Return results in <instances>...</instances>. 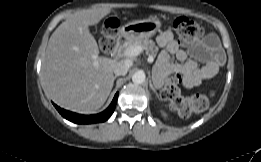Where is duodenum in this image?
I'll list each match as a JSON object with an SVG mask.
<instances>
[{
	"label": "duodenum",
	"mask_w": 261,
	"mask_h": 162,
	"mask_svg": "<svg viewBox=\"0 0 261 162\" xmlns=\"http://www.w3.org/2000/svg\"><path fill=\"white\" fill-rule=\"evenodd\" d=\"M126 42H127V37L125 35H120L116 40V46L120 48L124 46Z\"/></svg>",
	"instance_id": "1"
}]
</instances>
